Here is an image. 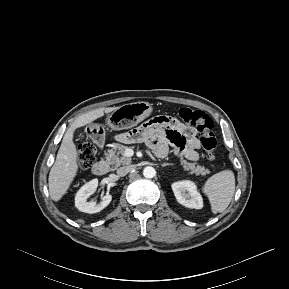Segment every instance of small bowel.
<instances>
[{"label":"small bowel","instance_id":"c3829d8e","mask_svg":"<svg viewBox=\"0 0 289 289\" xmlns=\"http://www.w3.org/2000/svg\"><path fill=\"white\" fill-rule=\"evenodd\" d=\"M128 139L145 142L159 158L167 154L169 144L176 154L188 160L196 161L199 158L201 142L196 131L170 117H159L143 123L128 134Z\"/></svg>","mask_w":289,"mask_h":289}]
</instances>
